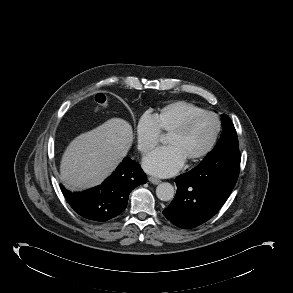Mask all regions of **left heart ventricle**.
Masks as SVG:
<instances>
[{
    "instance_id": "b2bd125f",
    "label": "left heart ventricle",
    "mask_w": 293,
    "mask_h": 293,
    "mask_svg": "<svg viewBox=\"0 0 293 293\" xmlns=\"http://www.w3.org/2000/svg\"><path fill=\"white\" fill-rule=\"evenodd\" d=\"M216 124L210 116L199 118L183 135H169L167 145L178 149L185 160L199 154L211 141Z\"/></svg>"
}]
</instances>
